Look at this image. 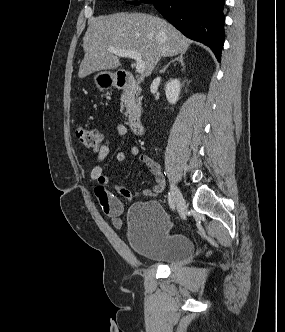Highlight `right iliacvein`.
Instances as JSON below:
<instances>
[{"label": "right iliac vein", "mask_w": 285, "mask_h": 332, "mask_svg": "<svg viewBox=\"0 0 285 332\" xmlns=\"http://www.w3.org/2000/svg\"><path fill=\"white\" fill-rule=\"evenodd\" d=\"M171 194L177 210L178 211L183 210L185 205L184 199L179 188L174 183L171 184Z\"/></svg>", "instance_id": "63e3f726"}]
</instances>
